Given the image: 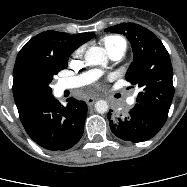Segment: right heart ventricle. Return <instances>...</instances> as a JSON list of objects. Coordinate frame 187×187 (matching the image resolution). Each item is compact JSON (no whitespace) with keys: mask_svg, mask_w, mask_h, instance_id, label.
Here are the masks:
<instances>
[{"mask_svg":"<svg viewBox=\"0 0 187 187\" xmlns=\"http://www.w3.org/2000/svg\"><path fill=\"white\" fill-rule=\"evenodd\" d=\"M101 43L104 46L107 53L115 49L126 50L125 40L122 37L117 36V35L106 36L102 38Z\"/></svg>","mask_w":187,"mask_h":187,"instance_id":"obj_1","label":"right heart ventricle"}]
</instances>
